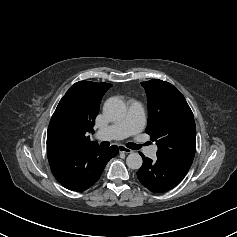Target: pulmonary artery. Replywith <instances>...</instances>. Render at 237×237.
<instances>
[{
	"instance_id": "pulmonary-artery-1",
	"label": "pulmonary artery",
	"mask_w": 237,
	"mask_h": 237,
	"mask_svg": "<svg viewBox=\"0 0 237 237\" xmlns=\"http://www.w3.org/2000/svg\"><path fill=\"white\" fill-rule=\"evenodd\" d=\"M145 125V112L141 103L133 102L127 115L119 122H116L96 133L97 138L103 140H121L130 135L139 133ZM157 147H147L144 152L149 157L156 155Z\"/></svg>"
}]
</instances>
